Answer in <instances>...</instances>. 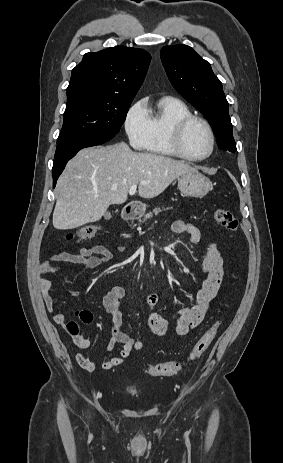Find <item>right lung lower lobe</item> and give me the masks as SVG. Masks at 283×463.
Wrapping results in <instances>:
<instances>
[{"label": "right lung lower lobe", "instance_id": "obj_1", "mask_svg": "<svg viewBox=\"0 0 283 463\" xmlns=\"http://www.w3.org/2000/svg\"><path fill=\"white\" fill-rule=\"evenodd\" d=\"M112 137H90L73 140L70 142L58 144L55 153V159L53 163V187L56 186V182L66 163L73 158L77 152L83 148L91 147L95 145L103 144L109 141Z\"/></svg>", "mask_w": 283, "mask_h": 463}]
</instances>
